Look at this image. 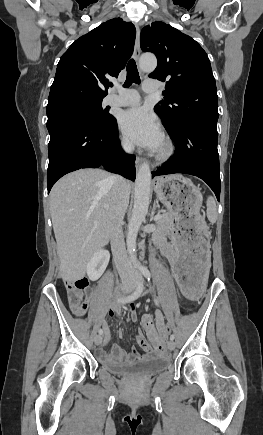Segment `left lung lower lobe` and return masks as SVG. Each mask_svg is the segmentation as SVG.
Returning <instances> with one entry per match:
<instances>
[{
    "label": "left lung lower lobe",
    "mask_w": 263,
    "mask_h": 435,
    "mask_svg": "<svg viewBox=\"0 0 263 435\" xmlns=\"http://www.w3.org/2000/svg\"><path fill=\"white\" fill-rule=\"evenodd\" d=\"M217 121L186 120L178 127L167 131L174 140L175 155L152 176L186 173L204 180L220 201V167L217 150Z\"/></svg>",
    "instance_id": "1"
}]
</instances>
